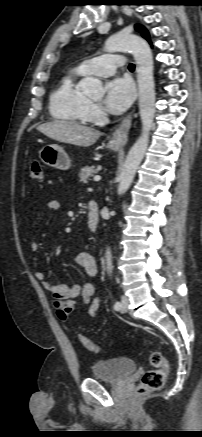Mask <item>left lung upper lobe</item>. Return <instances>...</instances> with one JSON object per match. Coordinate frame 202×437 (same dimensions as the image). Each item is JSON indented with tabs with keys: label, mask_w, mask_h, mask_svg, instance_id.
<instances>
[{
	"label": "left lung upper lobe",
	"mask_w": 202,
	"mask_h": 437,
	"mask_svg": "<svg viewBox=\"0 0 202 437\" xmlns=\"http://www.w3.org/2000/svg\"><path fill=\"white\" fill-rule=\"evenodd\" d=\"M135 29L142 34V36L150 42L148 31L141 25H135Z\"/></svg>",
	"instance_id": "1"
}]
</instances>
